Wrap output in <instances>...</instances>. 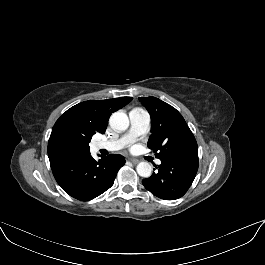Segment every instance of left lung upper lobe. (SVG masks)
<instances>
[{
  "label": "left lung upper lobe",
  "mask_w": 265,
  "mask_h": 265,
  "mask_svg": "<svg viewBox=\"0 0 265 265\" xmlns=\"http://www.w3.org/2000/svg\"><path fill=\"white\" fill-rule=\"evenodd\" d=\"M139 101L151 116L148 148L157 158L198 154L196 139L175 108L156 97H143Z\"/></svg>",
  "instance_id": "obj_1"
}]
</instances>
